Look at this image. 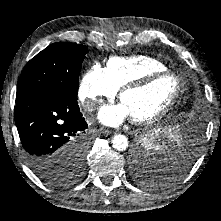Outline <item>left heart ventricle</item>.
Segmentation results:
<instances>
[{
    "label": "left heart ventricle",
    "mask_w": 221,
    "mask_h": 221,
    "mask_svg": "<svg viewBox=\"0 0 221 221\" xmlns=\"http://www.w3.org/2000/svg\"><path fill=\"white\" fill-rule=\"evenodd\" d=\"M175 90V79L172 76H164L144 88L126 92L121 98V103L131 118H146L163 109Z\"/></svg>",
    "instance_id": "b2bd125f"
}]
</instances>
